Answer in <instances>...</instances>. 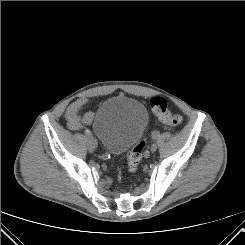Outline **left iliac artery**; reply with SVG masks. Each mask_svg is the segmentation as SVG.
<instances>
[{
	"label": "left iliac artery",
	"instance_id": "1",
	"mask_svg": "<svg viewBox=\"0 0 245 245\" xmlns=\"http://www.w3.org/2000/svg\"><path fill=\"white\" fill-rule=\"evenodd\" d=\"M158 136H159L158 132L154 131V132L152 133V138H153V139H157Z\"/></svg>",
	"mask_w": 245,
	"mask_h": 245
}]
</instances>
